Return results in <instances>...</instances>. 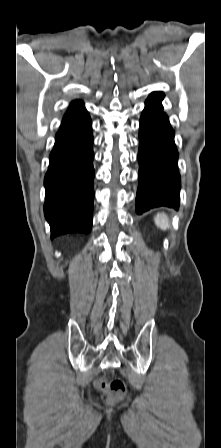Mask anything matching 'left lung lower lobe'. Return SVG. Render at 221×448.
I'll return each mask as SVG.
<instances>
[{
  "instance_id": "0a47b994",
  "label": "left lung lower lobe",
  "mask_w": 221,
  "mask_h": 448,
  "mask_svg": "<svg viewBox=\"0 0 221 448\" xmlns=\"http://www.w3.org/2000/svg\"><path fill=\"white\" fill-rule=\"evenodd\" d=\"M164 97L163 92L151 93L140 119L137 214L159 206L179 208L178 152L175 132L163 112Z\"/></svg>"
}]
</instances>
